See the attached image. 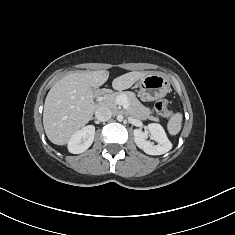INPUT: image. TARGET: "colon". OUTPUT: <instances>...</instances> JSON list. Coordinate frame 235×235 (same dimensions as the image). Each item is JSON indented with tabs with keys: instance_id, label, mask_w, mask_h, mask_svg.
<instances>
[{
	"instance_id": "5ec220e1",
	"label": "colon",
	"mask_w": 235,
	"mask_h": 235,
	"mask_svg": "<svg viewBox=\"0 0 235 235\" xmlns=\"http://www.w3.org/2000/svg\"><path fill=\"white\" fill-rule=\"evenodd\" d=\"M155 109L160 115L164 117L171 116V112L168 108V101L166 99H161L157 101L155 104Z\"/></svg>"
}]
</instances>
